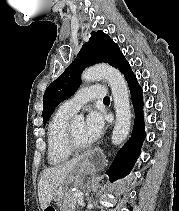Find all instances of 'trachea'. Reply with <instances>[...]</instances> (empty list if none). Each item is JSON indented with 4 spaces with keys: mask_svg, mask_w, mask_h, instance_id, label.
I'll return each mask as SVG.
<instances>
[{
    "mask_svg": "<svg viewBox=\"0 0 179 211\" xmlns=\"http://www.w3.org/2000/svg\"><path fill=\"white\" fill-rule=\"evenodd\" d=\"M103 101H110V98H109V97H105V98L103 99Z\"/></svg>",
    "mask_w": 179,
    "mask_h": 211,
    "instance_id": "1",
    "label": "trachea"
}]
</instances>
